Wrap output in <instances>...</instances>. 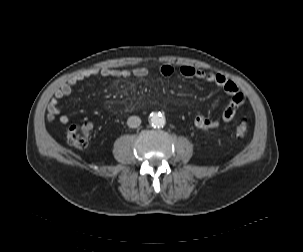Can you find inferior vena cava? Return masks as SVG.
Instances as JSON below:
<instances>
[{
  "label": "inferior vena cava",
  "mask_w": 303,
  "mask_h": 252,
  "mask_svg": "<svg viewBox=\"0 0 303 252\" xmlns=\"http://www.w3.org/2000/svg\"><path fill=\"white\" fill-rule=\"evenodd\" d=\"M141 124V119L138 116H131L127 120V125L130 128H137Z\"/></svg>",
  "instance_id": "inferior-vena-cava-1"
}]
</instances>
